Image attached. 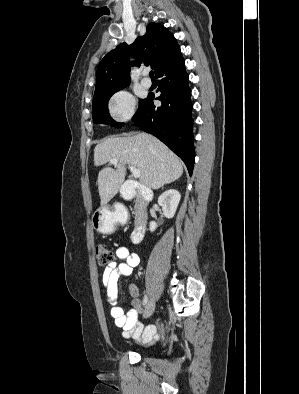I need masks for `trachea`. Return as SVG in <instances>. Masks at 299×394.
Returning <instances> with one entry per match:
<instances>
[{"label": "trachea", "instance_id": "obj_1", "mask_svg": "<svg viewBox=\"0 0 299 394\" xmlns=\"http://www.w3.org/2000/svg\"><path fill=\"white\" fill-rule=\"evenodd\" d=\"M149 75H150V78H151V79H155V77H154V72H153V71H150Z\"/></svg>", "mask_w": 299, "mask_h": 394}]
</instances>
